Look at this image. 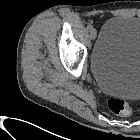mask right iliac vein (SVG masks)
Returning <instances> with one entry per match:
<instances>
[{
	"label": "right iliac vein",
	"instance_id": "obj_1",
	"mask_svg": "<svg viewBox=\"0 0 140 140\" xmlns=\"http://www.w3.org/2000/svg\"><path fill=\"white\" fill-rule=\"evenodd\" d=\"M96 35H97V31L95 29H92L90 31L91 39L94 40L96 38Z\"/></svg>",
	"mask_w": 140,
	"mask_h": 140
}]
</instances>
